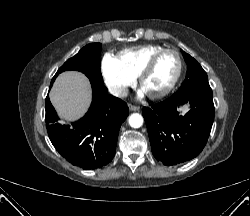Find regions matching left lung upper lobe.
Masks as SVG:
<instances>
[{"label": "left lung upper lobe", "mask_w": 250, "mask_h": 216, "mask_svg": "<svg viewBox=\"0 0 250 216\" xmlns=\"http://www.w3.org/2000/svg\"><path fill=\"white\" fill-rule=\"evenodd\" d=\"M187 63V75L181 87L175 95H185L189 93L204 92L212 94V89L208 83V77L200 64L189 54L182 51Z\"/></svg>", "instance_id": "left-lung-upper-lobe-1"}]
</instances>
